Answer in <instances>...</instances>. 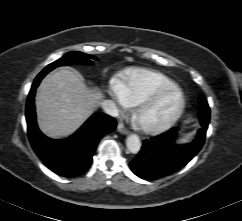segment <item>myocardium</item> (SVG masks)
<instances>
[{"mask_svg": "<svg viewBox=\"0 0 242 221\" xmlns=\"http://www.w3.org/2000/svg\"><path fill=\"white\" fill-rule=\"evenodd\" d=\"M175 94L177 103L173 109L160 121L155 123H147L144 121V116L154 107H156L166 96ZM185 107V95L183 90L174 85L164 88L153 94L148 99L141 102L134 112V120L137 125L146 133H159L169 128L181 115Z\"/></svg>", "mask_w": 242, "mask_h": 221, "instance_id": "f54148a6", "label": "myocardium"}]
</instances>
